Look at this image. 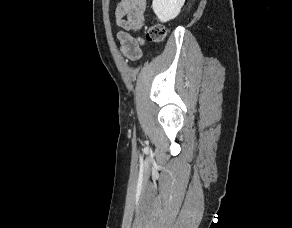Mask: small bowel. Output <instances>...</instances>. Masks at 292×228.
<instances>
[{
  "label": "small bowel",
  "instance_id": "c3829d8e",
  "mask_svg": "<svg viewBox=\"0 0 292 228\" xmlns=\"http://www.w3.org/2000/svg\"><path fill=\"white\" fill-rule=\"evenodd\" d=\"M147 1L120 0L115 10L116 23L122 28L117 34L120 50L130 60H136L141 56L143 40L132 36L130 31L142 26Z\"/></svg>",
  "mask_w": 292,
  "mask_h": 228
}]
</instances>
